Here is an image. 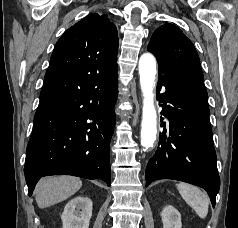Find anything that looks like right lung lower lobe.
Here are the masks:
<instances>
[{"instance_id":"98d812e1","label":"right lung lower lobe","mask_w":238,"mask_h":228,"mask_svg":"<svg viewBox=\"0 0 238 228\" xmlns=\"http://www.w3.org/2000/svg\"><path fill=\"white\" fill-rule=\"evenodd\" d=\"M117 94L116 78L94 90L38 106L24 168L29 196L41 177L55 174L102 179L110 186Z\"/></svg>"}]
</instances>
